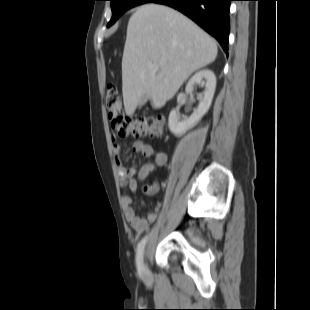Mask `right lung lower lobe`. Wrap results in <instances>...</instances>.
I'll return each mask as SVG.
<instances>
[{"mask_svg": "<svg viewBox=\"0 0 310 310\" xmlns=\"http://www.w3.org/2000/svg\"><path fill=\"white\" fill-rule=\"evenodd\" d=\"M233 0H150L182 12L220 43L228 51L230 31L229 11Z\"/></svg>", "mask_w": 310, "mask_h": 310, "instance_id": "98d812e1", "label": "right lung lower lobe"}]
</instances>
